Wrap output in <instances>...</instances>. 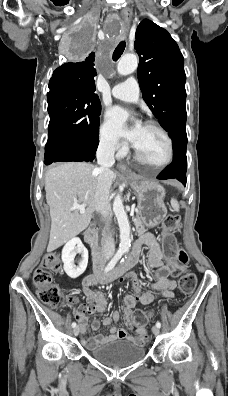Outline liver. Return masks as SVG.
Wrapping results in <instances>:
<instances>
[{
    "mask_svg": "<svg viewBox=\"0 0 228 396\" xmlns=\"http://www.w3.org/2000/svg\"><path fill=\"white\" fill-rule=\"evenodd\" d=\"M98 176L97 168L85 162L63 163L47 171L45 191L51 216L49 252L88 227L95 210ZM115 178L112 172V180ZM83 203L86 204L84 214L72 210L74 204Z\"/></svg>",
    "mask_w": 228,
    "mask_h": 396,
    "instance_id": "liver-1",
    "label": "liver"
}]
</instances>
